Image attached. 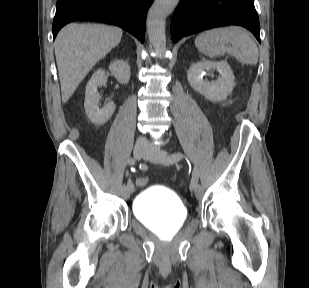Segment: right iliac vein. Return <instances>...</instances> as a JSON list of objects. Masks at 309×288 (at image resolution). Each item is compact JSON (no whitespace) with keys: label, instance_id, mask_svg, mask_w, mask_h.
I'll return each instance as SVG.
<instances>
[{"label":"right iliac vein","instance_id":"right-iliac-vein-1","mask_svg":"<svg viewBox=\"0 0 309 288\" xmlns=\"http://www.w3.org/2000/svg\"><path fill=\"white\" fill-rule=\"evenodd\" d=\"M147 153V149L143 148L139 145H136L133 149V156L136 160H139L140 158L144 157V155ZM133 185V184H132ZM134 190H125L124 195L128 197Z\"/></svg>","mask_w":309,"mask_h":288}]
</instances>
